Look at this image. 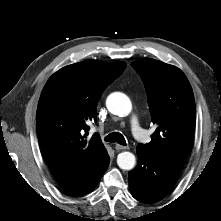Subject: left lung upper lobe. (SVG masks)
Returning <instances> with one entry per match:
<instances>
[{
	"label": "left lung upper lobe",
	"instance_id": "5c2ea615",
	"mask_svg": "<svg viewBox=\"0 0 221 221\" xmlns=\"http://www.w3.org/2000/svg\"><path fill=\"white\" fill-rule=\"evenodd\" d=\"M141 76L152 122L157 125L150 143L137 148L182 168L192 148L196 110L191 85L175 66L154 59L131 63Z\"/></svg>",
	"mask_w": 221,
	"mask_h": 221
}]
</instances>
